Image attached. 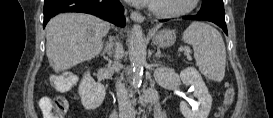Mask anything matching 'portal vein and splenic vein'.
<instances>
[{
	"label": "portal vein and splenic vein",
	"mask_w": 273,
	"mask_h": 118,
	"mask_svg": "<svg viewBox=\"0 0 273 118\" xmlns=\"http://www.w3.org/2000/svg\"><path fill=\"white\" fill-rule=\"evenodd\" d=\"M181 50L185 51V53H187V54L190 53V49L189 48H182Z\"/></svg>",
	"instance_id": "1"
}]
</instances>
